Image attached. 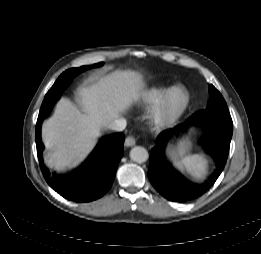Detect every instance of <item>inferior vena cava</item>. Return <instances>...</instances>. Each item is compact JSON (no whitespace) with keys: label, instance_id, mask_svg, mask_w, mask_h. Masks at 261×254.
<instances>
[{"label":"inferior vena cava","instance_id":"1","mask_svg":"<svg viewBox=\"0 0 261 254\" xmlns=\"http://www.w3.org/2000/svg\"><path fill=\"white\" fill-rule=\"evenodd\" d=\"M127 122L124 118H116L110 121L106 127L113 131H123L126 128Z\"/></svg>","mask_w":261,"mask_h":254}]
</instances>
